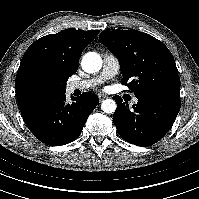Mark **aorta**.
I'll return each instance as SVG.
<instances>
[{
	"label": "aorta",
	"mask_w": 199,
	"mask_h": 199,
	"mask_svg": "<svg viewBox=\"0 0 199 199\" xmlns=\"http://www.w3.org/2000/svg\"><path fill=\"white\" fill-rule=\"evenodd\" d=\"M82 69L87 73H96L102 67V59L95 52H88L82 58ZM116 102L112 99H106L101 104V109L108 114L114 113L116 110Z\"/></svg>",
	"instance_id": "obj_1"
}]
</instances>
